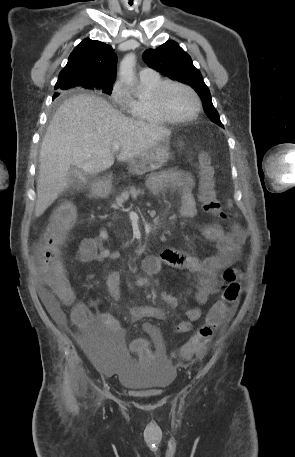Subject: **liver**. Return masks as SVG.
Segmentation results:
<instances>
[{
	"label": "liver",
	"mask_w": 295,
	"mask_h": 457,
	"mask_svg": "<svg viewBox=\"0 0 295 457\" xmlns=\"http://www.w3.org/2000/svg\"><path fill=\"white\" fill-rule=\"evenodd\" d=\"M170 135L163 126L125 117L100 97H70L56 111L42 141L35 216L69 186L70 166L94 175L114 164V142L121 147L118 161H130Z\"/></svg>",
	"instance_id": "liver-1"
}]
</instances>
